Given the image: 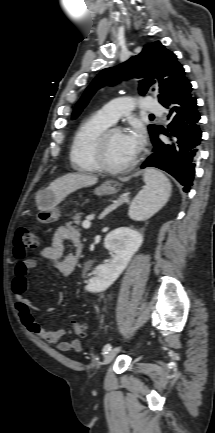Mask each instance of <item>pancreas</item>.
Wrapping results in <instances>:
<instances>
[{"instance_id":"obj_1","label":"pancreas","mask_w":215,"mask_h":433,"mask_svg":"<svg viewBox=\"0 0 215 433\" xmlns=\"http://www.w3.org/2000/svg\"><path fill=\"white\" fill-rule=\"evenodd\" d=\"M71 219L73 220V223L76 224L77 226L80 225L81 223V214H76L75 216L71 217Z\"/></svg>"}]
</instances>
